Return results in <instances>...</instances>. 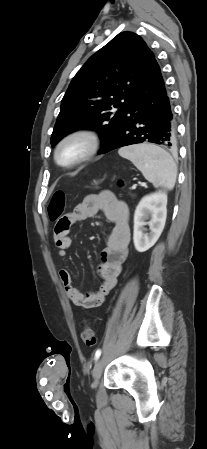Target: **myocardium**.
Wrapping results in <instances>:
<instances>
[{"label": "myocardium", "instance_id": "myocardium-1", "mask_svg": "<svg viewBox=\"0 0 207 449\" xmlns=\"http://www.w3.org/2000/svg\"><path fill=\"white\" fill-rule=\"evenodd\" d=\"M73 141H82L85 149L77 158L69 162H62L59 159L61 149ZM101 145L98 133L89 128H77L64 135L57 143L54 150V160L62 168H72L92 159L99 151Z\"/></svg>", "mask_w": 207, "mask_h": 449}]
</instances>
